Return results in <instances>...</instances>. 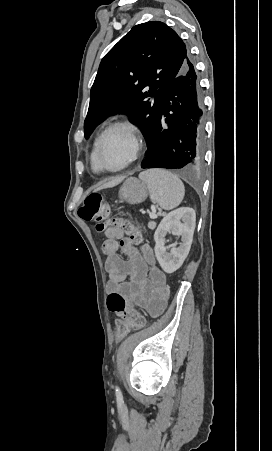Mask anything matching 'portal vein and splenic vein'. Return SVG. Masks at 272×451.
Segmentation results:
<instances>
[{
	"mask_svg": "<svg viewBox=\"0 0 272 451\" xmlns=\"http://www.w3.org/2000/svg\"><path fill=\"white\" fill-rule=\"evenodd\" d=\"M150 218H152V220H154V218H157L155 212H150Z\"/></svg>",
	"mask_w": 272,
	"mask_h": 451,
	"instance_id": "1",
	"label": "portal vein and splenic vein"
}]
</instances>
